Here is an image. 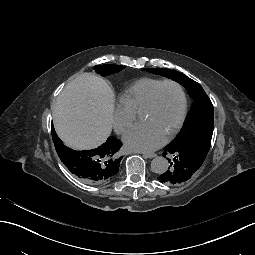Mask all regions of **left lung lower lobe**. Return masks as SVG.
Segmentation results:
<instances>
[{
	"instance_id": "1",
	"label": "left lung lower lobe",
	"mask_w": 255,
	"mask_h": 255,
	"mask_svg": "<svg viewBox=\"0 0 255 255\" xmlns=\"http://www.w3.org/2000/svg\"><path fill=\"white\" fill-rule=\"evenodd\" d=\"M164 158L168 159V171L160 174L156 181L162 184H180L187 182L195 171L200 173V166L194 156L180 148L166 147L162 151Z\"/></svg>"
}]
</instances>
